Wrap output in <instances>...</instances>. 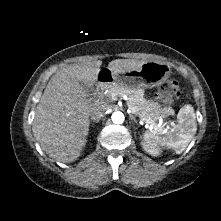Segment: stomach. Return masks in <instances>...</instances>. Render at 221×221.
<instances>
[{
	"label": "stomach",
	"mask_w": 221,
	"mask_h": 221,
	"mask_svg": "<svg viewBox=\"0 0 221 221\" xmlns=\"http://www.w3.org/2000/svg\"><path fill=\"white\" fill-rule=\"evenodd\" d=\"M171 75L169 64L159 61H146L140 68L120 74L117 76L119 85L128 89L153 88L160 86L168 81ZM160 112H169L170 108H161Z\"/></svg>",
	"instance_id": "0dacf381"
}]
</instances>
